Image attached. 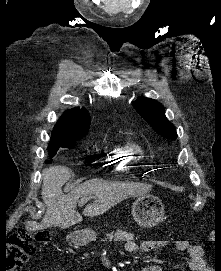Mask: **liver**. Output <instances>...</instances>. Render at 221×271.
Listing matches in <instances>:
<instances>
[{"label":"liver","instance_id":"obj_1","mask_svg":"<svg viewBox=\"0 0 221 271\" xmlns=\"http://www.w3.org/2000/svg\"><path fill=\"white\" fill-rule=\"evenodd\" d=\"M70 175L71 171L65 165H51L43 169L41 195L47 209L41 223L35 225L33 229H46L53 225L70 227L82 221L81 213L75 209L81 195L95 197V201L88 203L82 211L83 215L94 217V215L105 213L122 199L144 191L139 185H132V183H111L105 179H88L65 195L62 187Z\"/></svg>","mask_w":221,"mask_h":271}]
</instances>
